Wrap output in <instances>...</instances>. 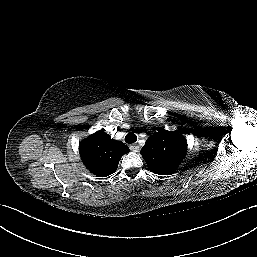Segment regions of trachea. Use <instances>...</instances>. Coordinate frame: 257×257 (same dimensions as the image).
<instances>
[{
    "mask_svg": "<svg viewBox=\"0 0 257 257\" xmlns=\"http://www.w3.org/2000/svg\"><path fill=\"white\" fill-rule=\"evenodd\" d=\"M137 141V136L133 133V132H130L128 133L126 136H125V142L126 143H134Z\"/></svg>",
    "mask_w": 257,
    "mask_h": 257,
    "instance_id": "trachea-1",
    "label": "trachea"
}]
</instances>
